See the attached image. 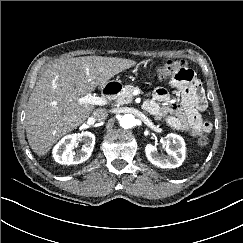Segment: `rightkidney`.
Masks as SVG:
<instances>
[{
	"label": "right kidney",
	"instance_id": "ca27d5eb",
	"mask_svg": "<svg viewBox=\"0 0 243 243\" xmlns=\"http://www.w3.org/2000/svg\"><path fill=\"white\" fill-rule=\"evenodd\" d=\"M82 142L80 152L73 149ZM95 145V135L91 132H82L64 136L53 148V158L56 162L65 165L80 164L85 162L92 154Z\"/></svg>",
	"mask_w": 243,
	"mask_h": 243
}]
</instances>
